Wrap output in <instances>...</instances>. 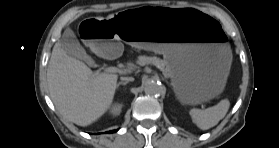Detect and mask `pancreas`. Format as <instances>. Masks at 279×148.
Listing matches in <instances>:
<instances>
[{
  "mask_svg": "<svg viewBox=\"0 0 279 148\" xmlns=\"http://www.w3.org/2000/svg\"><path fill=\"white\" fill-rule=\"evenodd\" d=\"M138 63L140 65L154 64L163 71L164 76L169 77L170 70L166 60H162L157 57L141 56L138 58Z\"/></svg>",
  "mask_w": 279,
  "mask_h": 148,
  "instance_id": "obj_1",
  "label": "pancreas"
}]
</instances>
